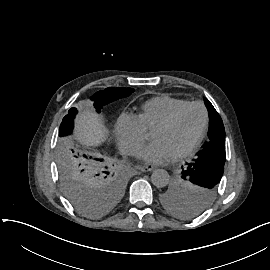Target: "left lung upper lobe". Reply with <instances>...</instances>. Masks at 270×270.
Instances as JSON below:
<instances>
[{
    "instance_id": "1",
    "label": "left lung upper lobe",
    "mask_w": 270,
    "mask_h": 270,
    "mask_svg": "<svg viewBox=\"0 0 270 270\" xmlns=\"http://www.w3.org/2000/svg\"><path fill=\"white\" fill-rule=\"evenodd\" d=\"M204 101L209 112V140L192 163L182 167L180 179L161 194L163 206L183 218L195 217L208 208L224 172V125L213 105L206 98Z\"/></svg>"
}]
</instances>
